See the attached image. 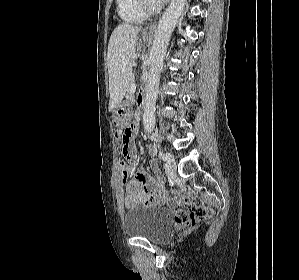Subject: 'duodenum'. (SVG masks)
<instances>
[{
	"label": "duodenum",
	"instance_id": "410a0bca",
	"mask_svg": "<svg viewBox=\"0 0 299 280\" xmlns=\"http://www.w3.org/2000/svg\"><path fill=\"white\" fill-rule=\"evenodd\" d=\"M138 103H139L140 107L142 108V110H144L145 109V99H144L143 95H139Z\"/></svg>",
	"mask_w": 299,
	"mask_h": 280
}]
</instances>
